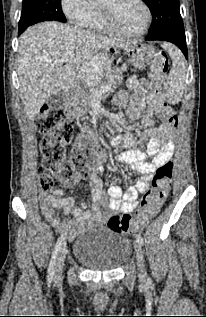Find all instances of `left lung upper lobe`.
Here are the masks:
<instances>
[{
  "label": "left lung upper lobe",
  "instance_id": "obj_1",
  "mask_svg": "<svg viewBox=\"0 0 206 317\" xmlns=\"http://www.w3.org/2000/svg\"><path fill=\"white\" fill-rule=\"evenodd\" d=\"M151 10L153 21L146 39L185 37L179 0H143Z\"/></svg>",
  "mask_w": 206,
  "mask_h": 317
}]
</instances>
